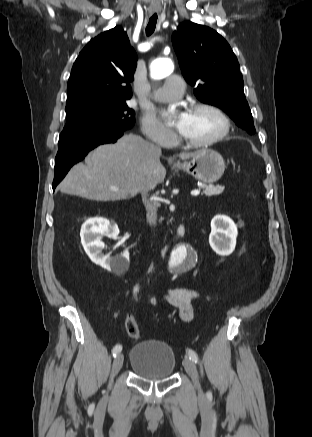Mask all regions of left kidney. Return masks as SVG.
Listing matches in <instances>:
<instances>
[{"label": "left kidney", "instance_id": "obj_1", "mask_svg": "<svg viewBox=\"0 0 312 437\" xmlns=\"http://www.w3.org/2000/svg\"><path fill=\"white\" fill-rule=\"evenodd\" d=\"M237 235V226L228 216L216 215L211 220L209 244L218 255L228 256L234 251Z\"/></svg>", "mask_w": 312, "mask_h": 437}]
</instances>
